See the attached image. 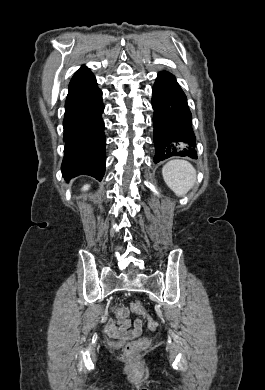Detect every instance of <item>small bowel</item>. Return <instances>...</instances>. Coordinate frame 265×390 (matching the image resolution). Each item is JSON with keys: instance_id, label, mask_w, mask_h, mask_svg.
<instances>
[{"instance_id": "c3829d8e", "label": "small bowel", "mask_w": 265, "mask_h": 390, "mask_svg": "<svg viewBox=\"0 0 265 390\" xmlns=\"http://www.w3.org/2000/svg\"><path fill=\"white\" fill-rule=\"evenodd\" d=\"M142 320L135 319L133 328L130 329L131 323L127 319L109 320L106 324V330L109 334L123 338H133L140 334L142 330Z\"/></svg>"}]
</instances>
